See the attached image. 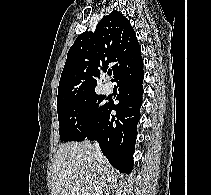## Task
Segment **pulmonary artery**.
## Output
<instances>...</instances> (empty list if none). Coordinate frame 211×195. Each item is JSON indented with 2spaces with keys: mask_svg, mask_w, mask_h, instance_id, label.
<instances>
[{
  "mask_svg": "<svg viewBox=\"0 0 211 195\" xmlns=\"http://www.w3.org/2000/svg\"><path fill=\"white\" fill-rule=\"evenodd\" d=\"M103 88H104V92L105 93H110L112 91V85L110 83H108V82H106L104 84Z\"/></svg>",
  "mask_w": 211,
  "mask_h": 195,
  "instance_id": "1",
  "label": "pulmonary artery"
}]
</instances>
